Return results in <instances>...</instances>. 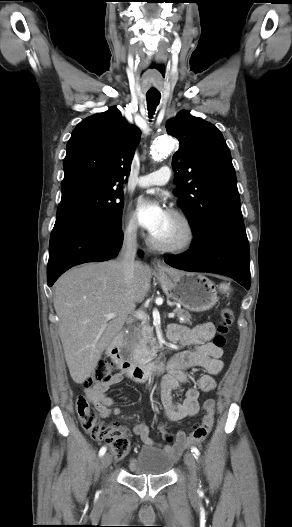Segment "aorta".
Listing matches in <instances>:
<instances>
[{"label": "aorta", "instance_id": "762f6f07", "mask_svg": "<svg viewBox=\"0 0 292 527\" xmlns=\"http://www.w3.org/2000/svg\"><path fill=\"white\" fill-rule=\"evenodd\" d=\"M173 149V141L171 137L164 136L158 138L152 146L151 154L153 159L161 160L168 155Z\"/></svg>", "mask_w": 292, "mask_h": 527}]
</instances>
